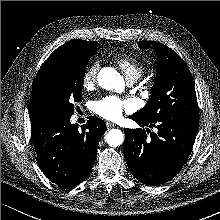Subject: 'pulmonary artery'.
<instances>
[{
    "mask_svg": "<svg viewBox=\"0 0 220 220\" xmlns=\"http://www.w3.org/2000/svg\"><path fill=\"white\" fill-rule=\"evenodd\" d=\"M134 79H129V82L132 83Z\"/></svg>",
    "mask_w": 220,
    "mask_h": 220,
    "instance_id": "e3ab8cb5",
    "label": "pulmonary artery"
}]
</instances>
